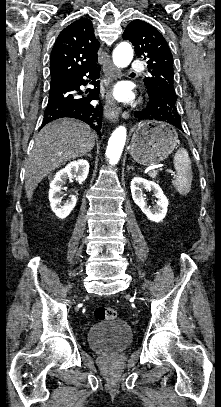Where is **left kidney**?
Here are the masks:
<instances>
[{"label":"left kidney","mask_w":221,"mask_h":407,"mask_svg":"<svg viewBox=\"0 0 221 407\" xmlns=\"http://www.w3.org/2000/svg\"><path fill=\"white\" fill-rule=\"evenodd\" d=\"M143 189L152 191L154 196L158 199L153 208L148 207L145 203ZM131 194L135 204L140 207L149 220L160 222L165 218L169 202L158 184L140 177H135L131 181Z\"/></svg>","instance_id":"left-kidney-1"}]
</instances>
